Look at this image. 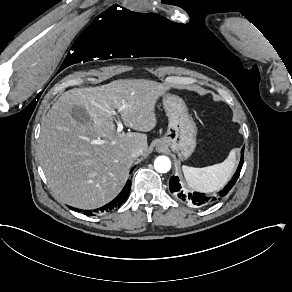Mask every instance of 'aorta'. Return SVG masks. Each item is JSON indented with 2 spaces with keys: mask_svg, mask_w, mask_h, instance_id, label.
I'll return each instance as SVG.
<instances>
[{
  "mask_svg": "<svg viewBox=\"0 0 292 292\" xmlns=\"http://www.w3.org/2000/svg\"><path fill=\"white\" fill-rule=\"evenodd\" d=\"M154 168L159 173H166L171 168V161L166 156H159L155 159Z\"/></svg>",
  "mask_w": 292,
  "mask_h": 292,
  "instance_id": "obj_1",
  "label": "aorta"
}]
</instances>
